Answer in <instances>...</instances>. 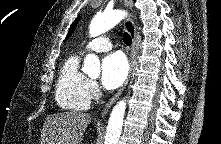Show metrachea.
Segmentation results:
<instances>
[{"instance_id": "3493384b", "label": "trachea", "mask_w": 221, "mask_h": 144, "mask_svg": "<svg viewBox=\"0 0 221 144\" xmlns=\"http://www.w3.org/2000/svg\"><path fill=\"white\" fill-rule=\"evenodd\" d=\"M123 40H124V43L128 46L132 44V38L127 32L123 33Z\"/></svg>"}]
</instances>
